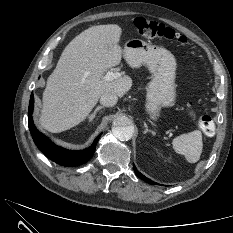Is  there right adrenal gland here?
Listing matches in <instances>:
<instances>
[{"label":"right adrenal gland","instance_id":"2a0ac1e0","mask_svg":"<svg viewBox=\"0 0 233 233\" xmlns=\"http://www.w3.org/2000/svg\"><path fill=\"white\" fill-rule=\"evenodd\" d=\"M103 108H104V106H97L96 109L94 110L93 114H91V115L89 116V122H92L93 119L96 117V113H97L99 110L103 109Z\"/></svg>","mask_w":233,"mask_h":233}]
</instances>
